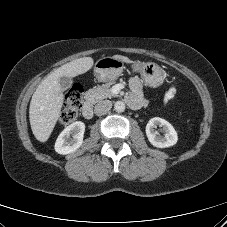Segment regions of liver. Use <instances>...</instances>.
<instances>
[{
	"mask_svg": "<svg viewBox=\"0 0 227 227\" xmlns=\"http://www.w3.org/2000/svg\"><path fill=\"white\" fill-rule=\"evenodd\" d=\"M125 63L132 61L122 55H114ZM94 64L91 57H83L66 63L47 76L34 92L30 107L29 120L35 138L46 142L60 116L63 93L59 83L61 77H76L89 71Z\"/></svg>",
	"mask_w": 227,
	"mask_h": 227,
	"instance_id": "liver-1",
	"label": "liver"
}]
</instances>
